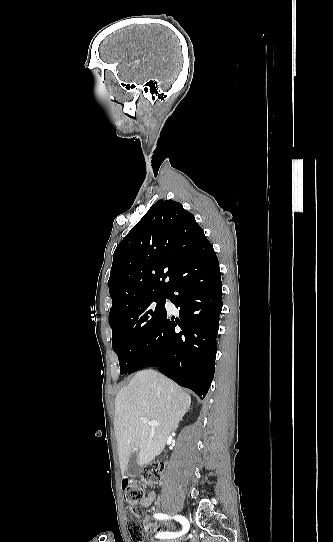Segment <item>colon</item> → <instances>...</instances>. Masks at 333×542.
<instances>
[{
  "instance_id": "colon-1",
  "label": "colon",
  "mask_w": 333,
  "mask_h": 542,
  "mask_svg": "<svg viewBox=\"0 0 333 542\" xmlns=\"http://www.w3.org/2000/svg\"><path fill=\"white\" fill-rule=\"evenodd\" d=\"M160 471L154 464L146 466L142 474L134 479H130L128 489H123L124 499L129 502L126 506L128 511L126 518L129 522V532L134 542H144V526L140 523L143 516L144 506L142 503L147 498V486L156 484L160 481Z\"/></svg>"
}]
</instances>
